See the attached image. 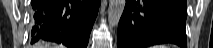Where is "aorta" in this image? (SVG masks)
I'll list each match as a JSON object with an SVG mask.
<instances>
[{
    "mask_svg": "<svg viewBox=\"0 0 213 48\" xmlns=\"http://www.w3.org/2000/svg\"><path fill=\"white\" fill-rule=\"evenodd\" d=\"M125 0H109L108 23L110 28L118 26L125 7Z\"/></svg>",
    "mask_w": 213,
    "mask_h": 48,
    "instance_id": "obj_1",
    "label": "aorta"
}]
</instances>
